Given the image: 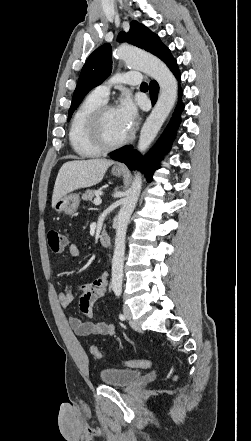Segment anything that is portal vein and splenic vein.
Segmentation results:
<instances>
[{
    "label": "portal vein and splenic vein",
    "instance_id": "1",
    "mask_svg": "<svg viewBox=\"0 0 251 441\" xmlns=\"http://www.w3.org/2000/svg\"><path fill=\"white\" fill-rule=\"evenodd\" d=\"M101 203H102V200H101L100 197H97V198L94 199V204L95 205H100Z\"/></svg>",
    "mask_w": 251,
    "mask_h": 441
}]
</instances>
